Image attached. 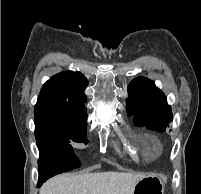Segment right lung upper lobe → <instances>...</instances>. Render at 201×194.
<instances>
[{
  "label": "right lung upper lobe",
  "instance_id": "1",
  "mask_svg": "<svg viewBox=\"0 0 201 194\" xmlns=\"http://www.w3.org/2000/svg\"><path fill=\"white\" fill-rule=\"evenodd\" d=\"M87 79L80 72L66 71L51 77L42 87L36 106L58 105L70 116L86 119L84 89Z\"/></svg>",
  "mask_w": 201,
  "mask_h": 194
}]
</instances>
